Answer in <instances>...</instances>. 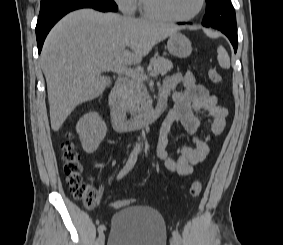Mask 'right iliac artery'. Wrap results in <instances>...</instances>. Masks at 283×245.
Instances as JSON below:
<instances>
[{
	"mask_svg": "<svg viewBox=\"0 0 283 245\" xmlns=\"http://www.w3.org/2000/svg\"><path fill=\"white\" fill-rule=\"evenodd\" d=\"M137 157H138V151L137 150H133L132 153L130 154L125 166L123 167V169L119 172L117 179H121L122 177H124L135 165L136 161H137ZM105 230V226L102 224L98 227V232L101 233Z\"/></svg>",
	"mask_w": 283,
	"mask_h": 245,
	"instance_id": "82829eb1",
	"label": "right iliac artery"
}]
</instances>
